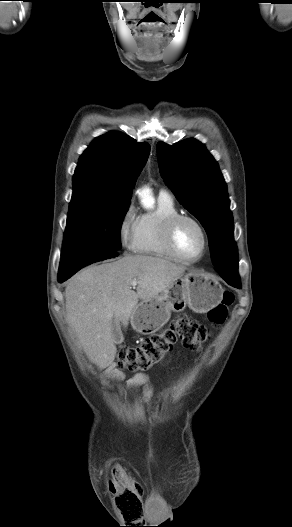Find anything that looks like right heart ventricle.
I'll return each instance as SVG.
<instances>
[{
	"label": "right heart ventricle",
	"mask_w": 292,
	"mask_h": 527,
	"mask_svg": "<svg viewBox=\"0 0 292 527\" xmlns=\"http://www.w3.org/2000/svg\"><path fill=\"white\" fill-rule=\"evenodd\" d=\"M179 210L170 196L159 195L153 211L138 216L132 250L138 254L173 259L163 242L166 221Z\"/></svg>",
	"instance_id": "e07e8e85"
}]
</instances>
